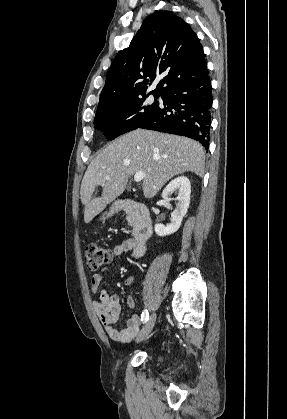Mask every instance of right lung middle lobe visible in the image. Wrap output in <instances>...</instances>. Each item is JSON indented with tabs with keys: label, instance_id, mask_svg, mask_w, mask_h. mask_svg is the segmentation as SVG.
<instances>
[{
	"label": "right lung middle lobe",
	"instance_id": "obj_1",
	"mask_svg": "<svg viewBox=\"0 0 287 419\" xmlns=\"http://www.w3.org/2000/svg\"><path fill=\"white\" fill-rule=\"evenodd\" d=\"M159 95H154L156 100ZM147 96L123 101L97 110L94 125L107 136L108 140L137 129L158 108L159 102L149 104Z\"/></svg>",
	"mask_w": 287,
	"mask_h": 419
}]
</instances>
